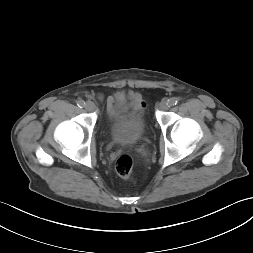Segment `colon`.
<instances>
[{"label": "colon", "mask_w": 253, "mask_h": 253, "mask_svg": "<svg viewBox=\"0 0 253 253\" xmlns=\"http://www.w3.org/2000/svg\"><path fill=\"white\" fill-rule=\"evenodd\" d=\"M133 159L129 155H122L118 158L115 170L117 174L124 179H129L133 172Z\"/></svg>", "instance_id": "1"}]
</instances>
